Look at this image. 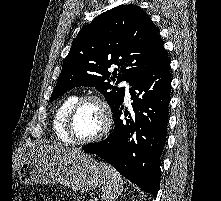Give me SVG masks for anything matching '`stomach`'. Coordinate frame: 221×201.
Here are the masks:
<instances>
[{"instance_id":"1","label":"stomach","mask_w":221,"mask_h":201,"mask_svg":"<svg viewBox=\"0 0 221 201\" xmlns=\"http://www.w3.org/2000/svg\"><path fill=\"white\" fill-rule=\"evenodd\" d=\"M18 178L26 185L61 183L76 192H86L101 186L106 175L100 163L82 151L39 149L24 160Z\"/></svg>"}]
</instances>
